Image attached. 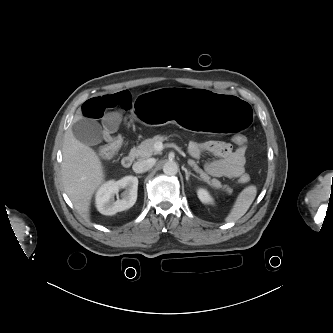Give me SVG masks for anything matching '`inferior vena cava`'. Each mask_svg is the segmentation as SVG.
<instances>
[{
	"label": "inferior vena cava",
	"instance_id": "obj_1",
	"mask_svg": "<svg viewBox=\"0 0 333 333\" xmlns=\"http://www.w3.org/2000/svg\"><path fill=\"white\" fill-rule=\"evenodd\" d=\"M154 164V159L139 160L133 164L132 169L135 173H144L151 169Z\"/></svg>",
	"mask_w": 333,
	"mask_h": 333
}]
</instances>
